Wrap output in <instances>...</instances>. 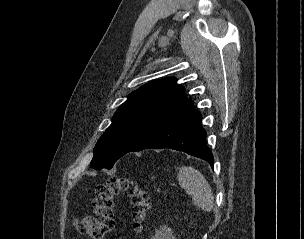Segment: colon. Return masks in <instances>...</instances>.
Masks as SVG:
<instances>
[{
	"mask_svg": "<svg viewBox=\"0 0 304 239\" xmlns=\"http://www.w3.org/2000/svg\"><path fill=\"white\" fill-rule=\"evenodd\" d=\"M121 194L131 202L134 230L142 232L151 207L150 197L135 179L125 176L110 178L96 187L92 204L94 217L76 218V230L90 239H104L114 227V199Z\"/></svg>",
	"mask_w": 304,
	"mask_h": 239,
	"instance_id": "colon-1",
	"label": "colon"
}]
</instances>
